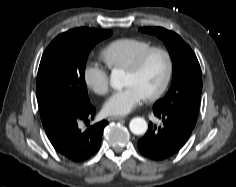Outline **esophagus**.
Listing matches in <instances>:
<instances>
[{"instance_id": "1", "label": "esophagus", "mask_w": 236, "mask_h": 187, "mask_svg": "<svg viewBox=\"0 0 236 187\" xmlns=\"http://www.w3.org/2000/svg\"><path fill=\"white\" fill-rule=\"evenodd\" d=\"M110 119L111 120H122V119H126V117L125 116H112Z\"/></svg>"}]
</instances>
